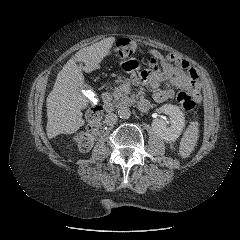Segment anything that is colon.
I'll return each instance as SVG.
<instances>
[{"label":"colon","instance_id":"colon-1","mask_svg":"<svg viewBox=\"0 0 240 240\" xmlns=\"http://www.w3.org/2000/svg\"><path fill=\"white\" fill-rule=\"evenodd\" d=\"M139 49V43L130 38H120L116 42L115 50L123 57L131 56ZM177 102L186 111L194 110L196 100L193 95L186 91L176 94ZM88 128L74 135V141L82 151L89 150L96 141L101 130L102 109L100 106H93L87 111Z\"/></svg>","mask_w":240,"mask_h":240}]
</instances>
